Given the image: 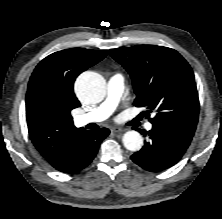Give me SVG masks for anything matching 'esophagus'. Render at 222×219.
Wrapping results in <instances>:
<instances>
[{
  "instance_id": "1",
  "label": "esophagus",
  "mask_w": 222,
  "mask_h": 219,
  "mask_svg": "<svg viewBox=\"0 0 222 219\" xmlns=\"http://www.w3.org/2000/svg\"><path fill=\"white\" fill-rule=\"evenodd\" d=\"M123 131H124V129L118 128V127H114V128L112 129V132H113V133H119V132H123Z\"/></svg>"
}]
</instances>
